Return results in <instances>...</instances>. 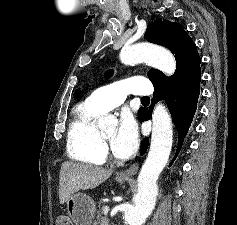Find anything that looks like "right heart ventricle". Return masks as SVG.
Segmentation results:
<instances>
[{"mask_svg":"<svg viewBox=\"0 0 237 225\" xmlns=\"http://www.w3.org/2000/svg\"><path fill=\"white\" fill-rule=\"evenodd\" d=\"M103 113L89 99L80 105L68 131L67 151L72 159L94 165L105 162L100 131L96 125L97 118Z\"/></svg>","mask_w":237,"mask_h":225,"instance_id":"right-heart-ventricle-1","label":"right heart ventricle"}]
</instances>
